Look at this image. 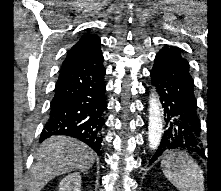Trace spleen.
Returning a JSON list of instances; mask_svg holds the SVG:
<instances>
[{
    "mask_svg": "<svg viewBox=\"0 0 221 191\" xmlns=\"http://www.w3.org/2000/svg\"><path fill=\"white\" fill-rule=\"evenodd\" d=\"M161 168L179 191H204L203 171L187 154L168 152L161 161Z\"/></svg>",
    "mask_w": 221,
    "mask_h": 191,
    "instance_id": "obj_1",
    "label": "spleen"
}]
</instances>
